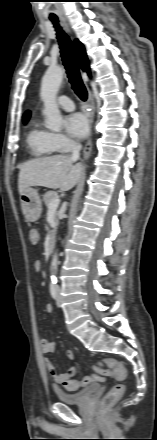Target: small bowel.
<instances>
[{
	"label": "small bowel",
	"instance_id": "c3829d8e",
	"mask_svg": "<svg viewBox=\"0 0 157 440\" xmlns=\"http://www.w3.org/2000/svg\"><path fill=\"white\" fill-rule=\"evenodd\" d=\"M40 269H41V265H37L36 263H34V271L37 273L40 271ZM45 310L47 313H51L52 312L51 305H47L45 307ZM39 343H40L41 350L44 354H52L55 351L56 344L54 341H50L46 338H41ZM66 356L68 359L72 360V359H74V352L69 349L66 351ZM44 363H45V367H46L47 371L51 375V377L56 385H64V382L66 380L71 379L77 373V368L74 365L70 366L65 373L58 374L56 372V369H55L53 362L49 358H46Z\"/></svg>",
	"mask_w": 157,
	"mask_h": 440
}]
</instances>
